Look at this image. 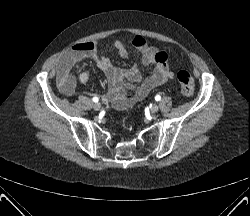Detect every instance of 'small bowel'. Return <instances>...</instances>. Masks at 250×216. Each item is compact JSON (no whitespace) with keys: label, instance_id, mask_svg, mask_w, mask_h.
I'll return each mask as SVG.
<instances>
[{"label":"small bowel","instance_id":"small-bowel-1","mask_svg":"<svg viewBox=\"0 0 250 216\" xmlns=\"http://www.w3.org/2000/svg\"><path fill=\"white\" fill-rule=\"evenodd\" d=\"M130 45L142 53V66L150 67L152 72L144 77L138 66L126 69L117 68L112 65L108 57L98 53L96 44L93 42L79 43L65 52L57 61V84L61 93L70 95L74 92L76 78L72 75L73 65L85 58H92L104 71L109 83L108 100L118 110H124L137 101L142 100L148 93L168 81L173 80L174 72L168 63V55L165 51L151 46L140 37L133 38ZM118 54L126 58L128 47L120 40L114 42ZM89 74L81 72L78 80L82 84L89 81ZM133 91L128 95L127 91Z\"/></svg>","mask_w":250,"mask_h":216}]
</instances>
